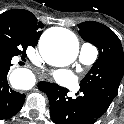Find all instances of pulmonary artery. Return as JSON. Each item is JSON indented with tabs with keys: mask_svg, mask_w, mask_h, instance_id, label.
<instances>
[{
	"mask_svg": "<svg viewBox=\"0 0 124 124\" xmlns=\"http://www.w3.org/2000/svg\"><path fill=\"white\" fill-rule=\"evenodd\" d=\"M98 57V50L95 46L84 43L79 51V61L84 65L93 64Z\"/></svg>",
	"mask_w": 124,
	"mask_h": 124,
	"instance_id": "pulmonary-artery-1",
	"label": "pulmonary artery"
}]
</instances>
